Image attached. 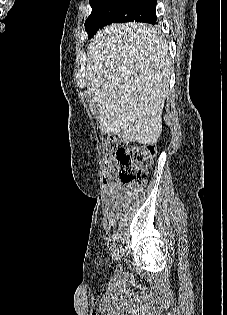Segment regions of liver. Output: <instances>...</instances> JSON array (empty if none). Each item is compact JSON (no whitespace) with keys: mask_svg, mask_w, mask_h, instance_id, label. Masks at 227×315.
Instances as JSON below:
<instances>
[{"mask_svg":"<svg viewBox=\"0 0 227 315\" xmlns=\"http://www.w3.org/2000/svg\"><path fill=\"white\" fill-rule=\"evenodd\" d=\"M87 95L97 107L100 129L141 144H156L168 94V46L155 26L113 24L88 46Z\"/></svg>","mask_w":227,"mask_h":315,"instance_id":"liver-1","label":"liver"}]
</instances>
